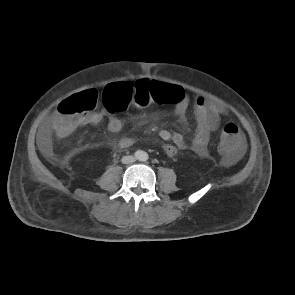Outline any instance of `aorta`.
I'll return each mask as SVG.
<instances>
[{
  "mask_svg": "<svg viewBox=\"0 0 295 295\" xmlns=\"http://www.w3.org/2000/svg\"><path fill=\"white\" fill-rule=\"evenodd\" d=\"M147 158H148V155H147L146 152H144V151H140V152L138 153V159H139V160L144 161V160H146Z\"/></svg>",
  "mask_w": 295,
  "mask_h": 295,
  "instance_id": "1",
  "label": "aorta"
}]
</instances>
